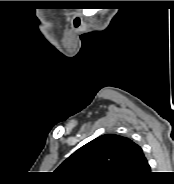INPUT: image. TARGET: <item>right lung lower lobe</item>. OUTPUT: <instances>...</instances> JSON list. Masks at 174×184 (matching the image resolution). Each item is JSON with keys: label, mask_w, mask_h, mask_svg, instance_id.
<instances>
[{"label": "right lung lower lobe", "mask_w": 174, "mask_h": 184, "mask_svg": "<svg viewBox=\"0 0 174 184\" xmlns=\"http://www.w3.org/2000/svg\"><path fill=\"white\" fill-rule=\"evenodd\" d=\"M150 174V166L147 165L145 169L140 172L136 177L130 179L129 181H125L121 184H142L145 183V179Z\"/></svg>", "instance_id": "right-lung-lower-lobe-1"}]
</instances>
